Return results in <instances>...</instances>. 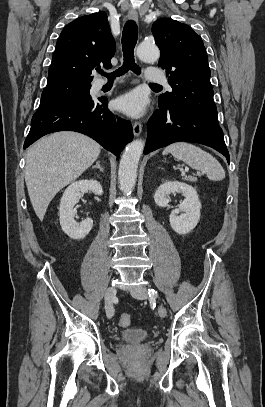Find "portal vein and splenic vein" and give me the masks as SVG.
<instances>
[{"instance_id":"18ae733b","label":"portal vein and splenic vein","mask_w":265,"mask_h":407,"mask_svg":"<svg viewBox=\"0 0 265 407\" xmlns=\"http://www.w3.org/2000/svg\"><path fill=\"white\" fill-rule=\"evenodd\" d=\"M188 171V168H185V172H187ZM198 174H201L200 172H198Z\"/></svg>"}]
</instances>
